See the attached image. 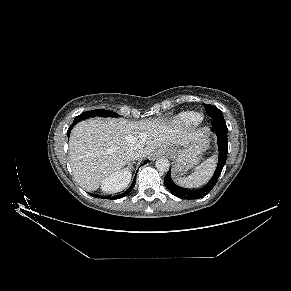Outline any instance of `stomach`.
Masks as SVG:
<instances>
[{
    "label": "stomach",
    "mask_w": 291,
    "mask_h": 291,
    "mask_svg": "<svg viewBox=\"0 0 291 291\" xmlns=\"http://www.w3.org/2000/svg\"><path fill=\"white\" fill-rule=\"evenodd\" d=\"M208 138L198 139L192 144H185L183 148H168L167 153L174 161V173L183 174L195 166L200 159V154L208 146Z\"/></svg>",
    "instance_id": "1"
}]
</instances>
